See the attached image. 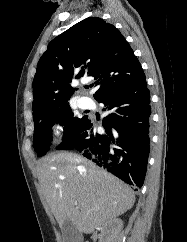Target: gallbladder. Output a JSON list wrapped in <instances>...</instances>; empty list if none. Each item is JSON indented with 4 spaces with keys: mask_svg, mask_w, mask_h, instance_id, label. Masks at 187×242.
<instances>
[{
    "mask_svg": "<svg viewBox=\"0 0 187 242\" xmlns=\"http://www.w3.org/2000/svg\"><path fill=\"white\" fill-rule=\"evenodd\" d=\"M63 242H81V234L70 220H65L61 226Z\"/></svg>",
    "mask_w": 187,
    "mask_h": 242,
    "instance_id": "bac80fb5",
    "label": "gallbladder"
}]
</instances>
